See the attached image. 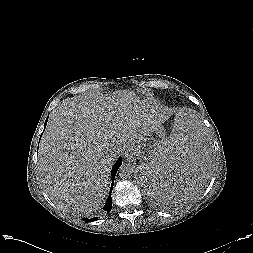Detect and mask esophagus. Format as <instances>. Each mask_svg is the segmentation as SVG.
<instances>
[{"instance_id": "obj_1", "label": "esophagus", "mask_w": 253, "mask_h": 253, "mask_svg": "<svg viewBox=\"0 0 253 253\" xmlns=\"http://www.w3.org/2000/svg\"><path fill=\"white\" fill-rule=\"evenodd\" d=\"M130 150H131V146L128 145V146L126 147V152H129Z\"/></svg>"}]
</instances>
